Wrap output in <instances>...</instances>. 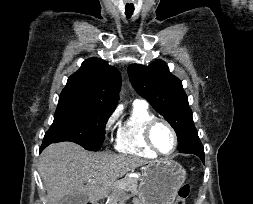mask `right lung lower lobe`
<instances>
[{"label":"right lung lower lobe","mask_w":253,"mask_h":204,"mask_svg":"<svg viewBox=\"0 0 253 204\" xmlns=\"http://www.w3.org/2000/svg\"><path fill=\"white\" fill-rule=\"evenodd\" d=\"M48 145H49V143L43 142V144H42V146H41V148H40V152H41L45 147H47Z\"/></svg>","instance_id":"right-lung-lower-lobe-1"}]
</instances>
